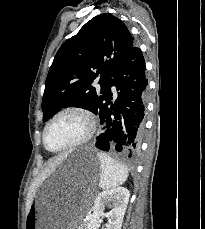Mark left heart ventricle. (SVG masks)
<instances>
[{"label":"left heart ventricle","mask_w":205,"mask_h":229,"mask_svg":"<svg viewBox=\"0 0 205 229\" xmlns=\"http://www.w3.org/2000/svg\"><path fill=\"white\" fill-rule=\"evenodd\" d=\"M85 130L86 123L79 115L61 116L48 129L47 145L51 149H59L79 139Z\"/></svg>","instance_id":"obj_1"}]
</instances>
